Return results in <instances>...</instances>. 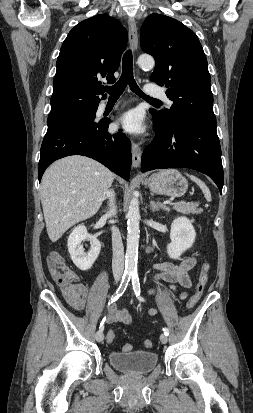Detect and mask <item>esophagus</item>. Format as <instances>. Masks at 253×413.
Returning <instances> with one entry per match:
<instances>
[{
    "label": "esophagus",
    "mask_w": 253,
    "mask_h": 413,
    "mask_svg": "<svg viewBox=\"0 0 253 413\" xmlns=\"http://www.w3.org/2000/svg\"><path fill=\"white\" fill-rule=\"evenodd\" d=\"M128 30H129V41H130V46L133 51L137 50L138 47V31H137V26L135 20L132 18H129L128 20ZM132 166L134 168H138L141 162V147L135 143L132 142Z\"/></svg>",
    "instance_id": "34e87169"
}]
</instances>
